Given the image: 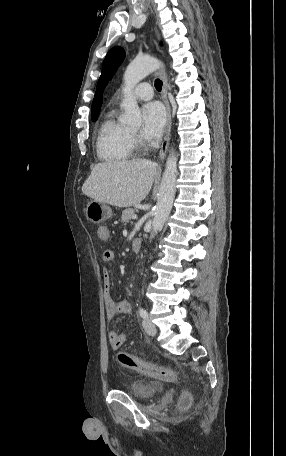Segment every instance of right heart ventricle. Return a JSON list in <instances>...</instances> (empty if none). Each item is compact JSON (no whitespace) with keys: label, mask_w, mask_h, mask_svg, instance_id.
<instances>
[{"label":"right heart ventricle","mask_w":286,"mask_h":456,"mask_svg":"<svg viewBox=\"0 0 286 456\" xmlns=\"http://www.w3.org/2000/svg\"><path fill=\"white\" fill-rule=\"evenodd\" d=\"M96 152L100 160L109 163L126 161L134 153L131 131L119 123L113 113L107 115L99 128Z\"/></svg>","instance_id":"obj_1"}]
</instances>
